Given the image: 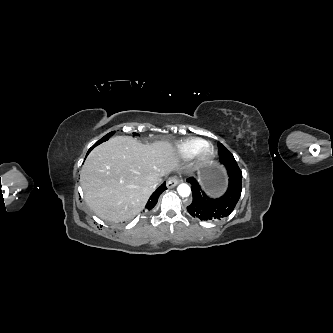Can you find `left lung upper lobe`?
Listing matches in <instances>:
<instances>
[{
  "instance_id": "5c2ea615",
  "label": "left lung upper lobe",
  "mask_w": 333,
  "mask_h": 333,
  "mask_svg": "<svg viewBox=\"0 0 333 333\" xmlns=\"http://www.w3.org/2000/svg\"><path fill=\"white\" fill-rule=\"evenodd\" d=\"M218 147H219V159L221 162L235 161L231 152L224 145L219 143Z\"/></svg>"
}]
</instances>
